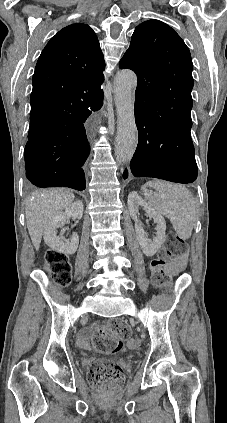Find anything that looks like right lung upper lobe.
Here are the masks:
<instances>
[{
  "instance_id": "right-lung-upper-lobe-1",
  "label": "right lung upper lobe",
  "mask_w": 227,
  "mask_h": 423,
  "mask_svg": "<svg viewBox=\"0 0 227 423\" xmlns=\"http://www.w3.org/2000/svg\"><path fill=\"white\" fill-rule=\"evenodd\" d=\"M105 62L95 32L75 23L60 30L43 49L33 75L31 104L64 103L87 98L101 101ZM58 119L30 121L29 140L61 130Z\"/></svg>"
}]
</instances>
